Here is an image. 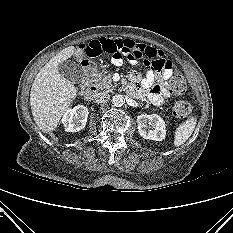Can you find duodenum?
<instances>
[{"label":"duodenum","instance_id":"410a0bca","mask_svg":"<svg viewBox=\"0 0 233 233\" xmlns=\"http://www.w3.org/2000/svg\"><path fill=\"white\" fill-rule=\"evenodd\" d=\"M98 75L99 74H97V76ZM96 93H97V86L95 84H92L84 91V97L87 100H91L95 97Z\"/></svg>","mask_w":233,"mask_h":233}]
</instances>
